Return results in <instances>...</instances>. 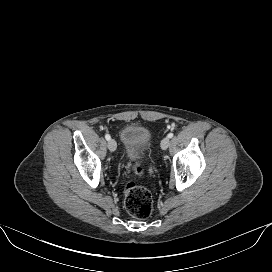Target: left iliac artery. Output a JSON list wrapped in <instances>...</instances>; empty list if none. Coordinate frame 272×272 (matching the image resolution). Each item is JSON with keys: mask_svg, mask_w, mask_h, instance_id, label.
Wrapping results in <instances>:
<instances>
[{"mask_svg": "<svg viewBox=\"0 0 272 272\" xmlns=\"http://www.w3.org/2000/svg\"><path fill=\"white\" fill-rule=\"evenodd\" d=\"M167 137H168V138H172V137H173V133H169V134L167 135Z\"/></svg>", "mask_w": 272, "mask_h": 272, "instance_id": "1", "label": "left iliac artery"}]
</instances>
